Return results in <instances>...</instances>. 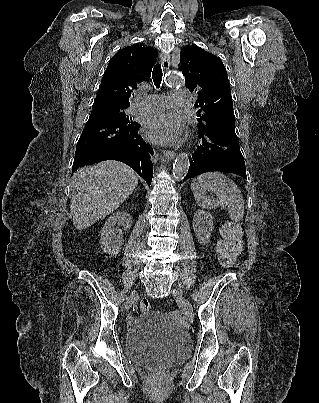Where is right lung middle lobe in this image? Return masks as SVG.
Instances as JSON below:
<instances>
[{"label":"right lung middle lobe","mask_w":319,"mask_h":403,"mask_svg":"<svg viewBox=\"0 0 319 403\" xmlns=\"http://www.w3.org/2000/svg\"><path fill=\"white\" fill-rule=\"evenodd\" d=\"M126 108V106L93 104L89 120H112L129 122V117L126 116L123 112V109Z\"/></svg>","instance_id":"obj_1"}]
</instances>
